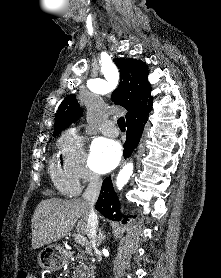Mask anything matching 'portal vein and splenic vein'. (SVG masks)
Wrapping results in <instances>:
<instances>
[{
	"label": "portal vein and splenic vein",
	"instance_id": "portal-vein-and-splenic-vein-1",
	"mask_svg": "<svg viewBox=\"0 0 221 278\" xmlns=\"http://www.w3.org/2000/svg\"><path fill=\"white\" fill-rule=\"evenodd\" d=\"M75 241L82 246H85L88 243L86 238L81 234L75 236Z\"/></svg>",
	"mask_w": 221,
	"mask_h": 278
}]
</instances>
